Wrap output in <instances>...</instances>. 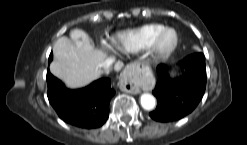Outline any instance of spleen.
Wrapping results in <instances>:
<instances>
[{
    "label": "spleen",
    "mask_w": 247,
    "mask_h": 145,
    "mask_svg": "<svg viewBox=\"0 0 247 145\" xmlns=\"http://www.w3.org/2000/svg\"><path fill=\"white\" fill-rule=\"evenodd\" d=\"M170 75H171L172 78H174V77H176V72L173 71V72H171Z\"/></svg>",
    "instance_id": "3e777b00"
}]
</instances>
